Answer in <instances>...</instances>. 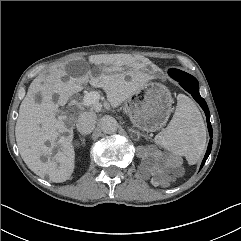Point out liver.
Returning a JSON list of instances; mask_svg holds the SVG:
<instances>
[{"label":"liver","instance_id":"6515ba94","mask_svg":"<svg viewBox=\"0 0 241 241\" xmlns=\"http://www.w3.org/2000/svg\"><path fill=\"white\" fill-rule=\"evenodd\" d=\"M89 63L105 68L96 77L90 69L67 81L65 64L54 67L48 75L40 74L28 88L23 99L15 127L16 142L20 155L29 169L40 177L48 176L52 182L61 183L70 178L75 167V152L72 145L73 130L56 118L60 102H66L73 94L81 91L90 82L93 87H101L112 107H118L138 90L145 87L152 77L147 73L150 61L141 56L126 54H100L89 56ZM126 68V71H122ZM40 93L41 102L35 101ZM53 94L59 101H53ZM74 118L70 123L76 122ZM68 136H60L61 133ZM58 150L51 161L43 162L42 155H51ZM46 142L50 145L47 146Z\"/></svg>","mask_w":241,"mask_h":241}]
</instances>
